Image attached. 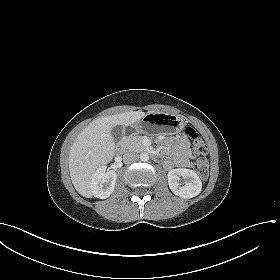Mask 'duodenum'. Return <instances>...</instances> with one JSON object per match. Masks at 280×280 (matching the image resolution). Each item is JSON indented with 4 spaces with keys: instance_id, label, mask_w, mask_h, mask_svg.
<instances>
[{
    "instance_id": "410a0bca",
    "label": "duodenum",
    "mask_w": 280,
    "mask_h": 280,
    "mask_svg": "<svg viewBox=\"0 0 280 280\" xmlns=\"http://www.w3.org/2000/svg\"><path fill=\"white\" fill-rule=\"evenodd\" d=\"M122 149H123V146H122V145L118 147V151H119V152L122 151ZM151 155H152L153 157L159 158V154H158V153L151 152Z\"/></svg>"
}]
</instances>
